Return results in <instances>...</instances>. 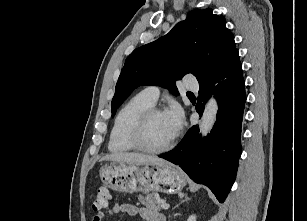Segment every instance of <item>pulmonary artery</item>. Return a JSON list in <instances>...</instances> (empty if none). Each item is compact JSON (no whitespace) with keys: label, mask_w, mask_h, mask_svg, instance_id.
<instances>
[{"label":"pulmonary artery","mask_w":307,"mask_h":221,"mask_svg":"<svg viewBox=\"0 0 307 221\" xmlns=\"http://www.w3.org/2000/svg\"><path fill=\"white\" fill-rule=\"evenodd\" d=\"M185 87L190 89V90H198V83L194 80H191L190 78H188L186 81H185ZM142 94L149 100L151 101L152 103H155L158 98H159V89L158 87L156 86H149V87H146L143 91H142Z\"/></svg>","instance_id":"1"}]
</instances>
